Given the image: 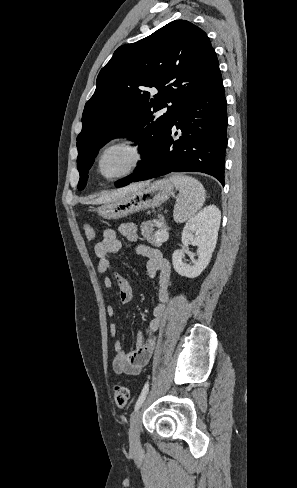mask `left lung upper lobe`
<instances>
[{"label": "left lung upper lobe", "mask_w": 297, "mask_h": 488, "mask_svg": "<svg viewBox=\"0 0 297 488\" xmlns=\"http://www.w3.org/2000/svg\"><path fill=\"white\" fill-rule=\"evenodd\" d=\"M219 74L206 33L186 20L172 21L136 43L119 47L101 69L95 93L83 111L77 137L78 189L85 187L99 148L116 137L141 141L146 157L133 174L143 169L181 111ZM165 107L167 111L160 113Z\"/></svg>", "instance_id": "5c2ea615"}]
</instances>
